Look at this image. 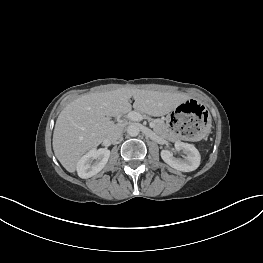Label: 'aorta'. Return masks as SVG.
I'll list each match as a JSON object with an SVG mask.
<instances>
[{"label":"aorta","instance_id":"1","mask_svg":"<svg viewBox=\"0 0 263 263\" xmlns=\"http://www.w3.org/2000/svg\"><path fill=\"white\" fill-rule=\"evenodd\" d=\"M140 132V128L137 124H131L127 127V133L132 136L136 137Z\"/></svg>","mask_w":263,"mask_h":263}]
</instances>
